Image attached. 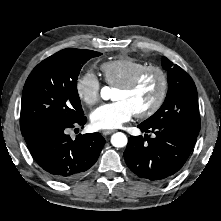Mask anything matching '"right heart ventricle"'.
<instances>
[{
	"mask_svg": "<svg viewBox=\"0 0 221 221\" xmlns=\"http://www.w3.org/2000/svg\"><path fill=\"white\" fill-rule=\"evenodd\" d=\"M147 64L131 57L119 58L101 64L105 82L113 87L129 80L137 71Z\"/></svg>",
	"mask_w": 221,
	"mask_h": 221,
	"instance_id": "1",
	"label": "right heart ventricle"
}]
</instances>
